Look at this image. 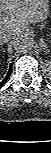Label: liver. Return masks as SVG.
I'll use <instances>...</instances> for the list:
<instances>
[{
    "instance_id": "obj_1",
    "label": "liver",
    "mask_w": 51,
    "mask_h": 153,
    "mask_svg": "<svg viewBox=\"0 0 51 153\" xmlns=\"http://www.w3.org/2000/svg\"><path fill=\"white\" fill-rule=\"evenodd\" d=\"M0 33L24 32L31 23L46 20L50 12V0H0Z\"/></svg>"
}]
</instances>
